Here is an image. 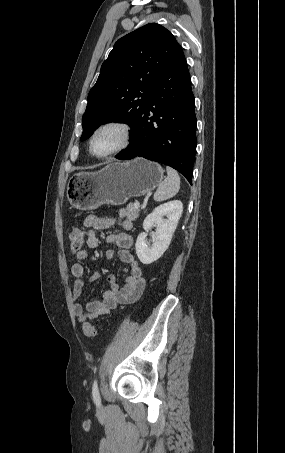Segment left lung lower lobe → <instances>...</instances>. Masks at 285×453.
Here are the masks:
<instances>
[{
  "label": "left lung lower lobe",
  "instance_id": "obj_1",
  "mask_svg": "<svg viewBox=\"0 0 285 453\" xmlns=\"http://www.w3.org/2000/svg\"><path fill=\"white\" fill-rule=\"evenodd\" d=\"M195 100L181 46L163 70L151 99L117 159L135 157L166 164L192 184L196 149Z\"/></svg>",
  "mask_w": 285,
  "mask_h": 453
}]
</instances>
